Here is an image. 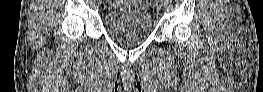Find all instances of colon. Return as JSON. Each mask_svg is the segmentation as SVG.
<instances>
[{"label":"colon","instance_id":"colon-1","mask_svg":"<svg viewBox=\"0 0 263 92\" xmlns=\"http://www.w3.org/2000/svg\"><path fill=\"white\" fill-rule=\"evenodd\" d=\"M145 3H148V4H151L152 2H154V1H144Z\"/></svg>","mask_w":263,"mask_h":92}]
</instances>
